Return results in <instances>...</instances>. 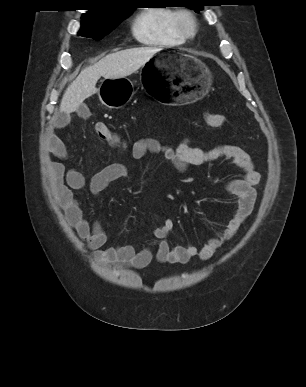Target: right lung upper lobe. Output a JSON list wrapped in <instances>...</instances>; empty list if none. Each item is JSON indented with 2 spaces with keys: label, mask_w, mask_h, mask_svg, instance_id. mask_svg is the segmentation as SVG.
<instances>
[{
  "label": "right lung upper lobe",
  "mask_w": 306,
  "mask_h": 387,
  "mask_svg": "<svg viewBox=\"0 0 306 387\" xmlns=\"http://www.w3.org/2000/svg\"><path fill=\"white\" fill-rule=\"evenodd\" d=\"M120 1V0H112ZM104 7L93 8L82 16V20L104 21L108 20L124 10L120 2L101 3Z\"/></svg>",
  "instance_id": "obj_1"
}]
</instances>
